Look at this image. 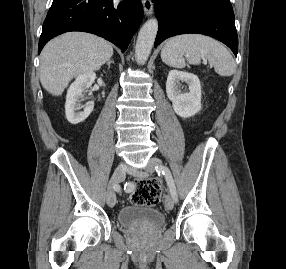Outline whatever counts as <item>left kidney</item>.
Returning <instances> with one entry per match:
<instances>
[{"label":"left kidney","mask_w":286,"mask_h":269,"mask_svg":"<svg viewBox=\"0 0 286 269\" xmlns=\"http://www.w3.org/2000/svg\"><path fill=\"white\" fill-rule=\"evenodd\" d=\"M180 81L188 85L189 92L180 91ZM166 93L175 113L182 118L194 116L201 110L200 80L192 73L171 70L167 77Z\"/></svg>","instance_id":"obj_1"}]
</instances>
